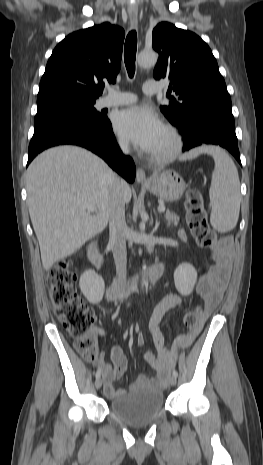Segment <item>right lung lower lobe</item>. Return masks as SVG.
I'll list each match as a JSON object with an SVG mask.
<instances>
[{"instance_id": "98d812e1", "label": "right lung lower lobe", "mask_w": 263, "mask_h": 465, "mask_svg": "<svg viewBox=\"0 0 263 465\" xmlns=\"http://www.w3.org/2000/svg\"><path fill=\"white\" fill-rule=\"evenodd\" d=\"M63 144L77 145L92 151L128 182L134 181V162L120 151L107 117L101 122L73 117H53L35 123L27 165L43 150Z\"/></svg>"}]
</instances>
